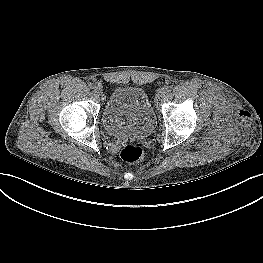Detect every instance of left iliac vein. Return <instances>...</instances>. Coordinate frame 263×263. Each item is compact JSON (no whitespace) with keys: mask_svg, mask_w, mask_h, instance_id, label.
<instances>
[{"mask_svg":"<svg viewBox=\"0 0 263 263\" xmlns=\"http://www.w3.org/2000/svg\"><path fill=\"white\" fill-rule=\"evenodd\" d=\"M164 97V93L161 91L155 96V101H160Z\"/></svg>","mask_w":263,"mask_h":263,"instance_id":"obj_1","label":"left iliac vein"}]
</instances>
